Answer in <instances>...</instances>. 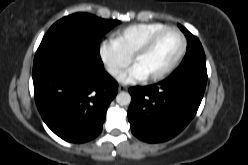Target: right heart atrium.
Instances as JSON below:
<instances>
[{
	"label": "right heart atrium",
	"instance_id": "right-heart-atrium-1",
	"mask_svg": "<svg viewBox=\"0 0 248 165\" xmlns=\"http://www.w3.org/2000/svg\"><path fill=\"white\" fill-rule=\"evenodd\" d=\"M99 56L105 69L113 77L120 76L132 61L131 56L115 39H107L100 44Z\"/></svg>",
	"mask_w": 248,
	"mask_h": 165
}]
</instances>
